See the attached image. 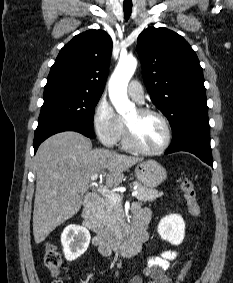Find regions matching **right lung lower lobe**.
<instances>
[{"label":"right lung lower lobe","mask_w":233,"mask_h":283,"mask_svg":"<svg viewBox=\"0 0 233 283\" xmlns=\"http://www.w3.org/2000/svg\"><path fill=\"white\" fill-rule=\"evenodd\" d=\"M63 131H76L79 132L89 138H94V132L92 128L83 126L80 124L68 122V121H62V120H57V121H51L44 123L42 125H38L35 135H34V152L37 151L38 146L48 137L51 135H54L59 132Z\"/></svg>","instance_id":"right-lung-lower-lobe-1"}]
</instances>
